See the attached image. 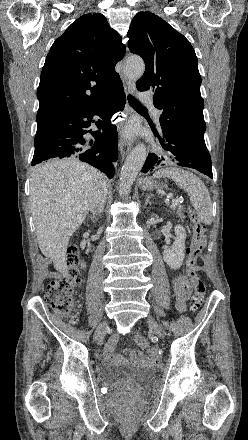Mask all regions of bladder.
Returning a JSON list of instances; mask_svg holds the SVG:
<instances>
[{"instance_id": "obj_1", "label": "bladder", "mask_w": 248, "mask_h": 440, "mask_svg": "<svg viewBox=\"0 0 248 440\" xmlns=\"http://www.w3.org/2000/svg\"><path fill=\"white\" fill-rule=\"evenodd\" d=\"M98 375L103 382L116 390H141L155 381L153 370L131 365L104 363L98 367Z\"/></svg>"}]
</instances>
